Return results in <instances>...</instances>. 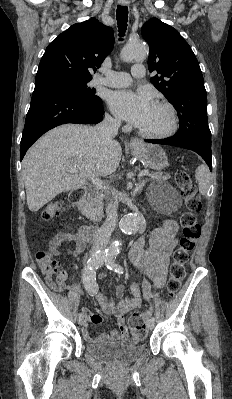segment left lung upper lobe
Segmentation results:
<instances>
[{
  "label": "left lung upper lobe",
  "mask_w": 232,
  "mask_h": 399,
  "mask_svg": "<svg viewBox=\"0 0 232 399\" xmlns=\"http://www.w3.org/2000/svg\"><path fill=\"white\" fill-rule=\"evenodd\" d=\"M141 33L149 45V71L159 74L151 82L178 113L180 127L174 136L211 147L204 79L191 47L157 18L147 21Z\"/></svg>",
  "instance_id": "1"
}]
</instances>
